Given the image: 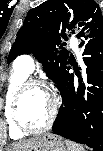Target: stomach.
I'll return each instance as SVG.
<instances>
[{
  "label": "stomach",
  "instance_id": "obj_1",
  "mask_svg": "<svg viewBox=\"0 0 103 151\" xmlns=\"http://www.w3.org/2000/svg\"><path fill=\"white\" fill-rule=\"evenodd\" d=\"M27 151H66L64 142L57 136L45 134L37 137Z\"/></svg>",
  "mask_w": 103,
  "mask_h": 151
}]
</instances>
